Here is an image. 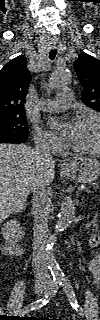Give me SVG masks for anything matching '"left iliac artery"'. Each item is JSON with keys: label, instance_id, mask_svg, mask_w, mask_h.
Wrapping results in <instances>:
<instances>
[{"label": "left iliac artery", "instance_id": "obj_1", "mask_svg": "<svg viewBox=\"0 0 100 320\" xmlns=\"http://www.w3.org/2000/svg\"><path fill=\"white\" fill-rule=\"evenodd\" d=\"M61 285L63 287V290L65 291L68 300L70 301L71 306L79 312V314L83 317L84 313L82 308L79 306L75 293H74V289L70 283V281L68 279H62L61 280Z\"/></svg>", "mask_w": 100, "mask_h": 320}]
</instances>
